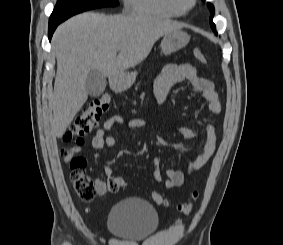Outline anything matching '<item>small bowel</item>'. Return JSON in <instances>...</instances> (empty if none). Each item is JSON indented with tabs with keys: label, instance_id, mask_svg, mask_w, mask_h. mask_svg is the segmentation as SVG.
Segmentation results:
<instances>
[{
	"label": "small bowel",
	"instance_id": "small-bowel-1",
	"mask_svg": "<svg viewBox=\"0 0 283 245\" xmlns=\"http://www.w3.org/2000/svg\"><path fill=\"white\" fill-rule=\"evenodd\" d=\"M187 81L191 85L193 91L197 96L207 103V110L211 113L217 114L221 111V104L218 95L214 89L213 83L197 74L195 67L191 64H167L158 73L154 80V94L159 104H164L167 100L170 89L177 83ZM126 124L130 130L146 128L148 126L146 120L135 118L125 123L120 115H114L108 118L99 128L91 140V145L94 149L102 150L111 148L115 145L116 140L113 136H108L107 132L117 125ZM178 131L181 136L187 140H196L198 142L199 153L194 155L190 160L188 169L183 172L175 169L166 170V178L159 170V159L154 160L153 177L159 183H164L168 189L181 186L186 178L192 173L200 170L214 154L216 149V132L213 124H206L204 133L199 136L188 127L180 126ZM80 150V146L69 151L66 159L70 158L74 152ZM104 174L109 179L113 177V170L111 167L104 168ZM96 192L103 196L107 194V182L103 180H96ZM89 210V209H87Z\"/></svg>",
	"mask_w": 283,
	"mask_h": 245
}]
</instances>
